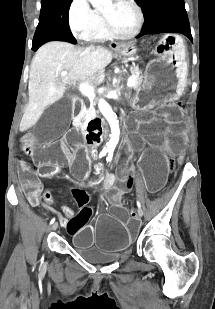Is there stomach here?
<instances>
[{
	"label": "stomach",
	"mask_w": 215,
	"mask_h": 309,
	"mask_svg": "<svg viewBox=\"0 0 215 309\" xmlns=\"http://www.w3.org/2000/svg\"><path fill=\"white\" fill-rule=\"evenodd\" d=\"M123 56L136 55V42H129L117 48ZM154 54L136 88L135 102L171 101L177 99L187 83L188 66L184 39L176 34L159 37Z\"/></svg>",
	"instance_id": "stomach-1"
}]
</instances>
